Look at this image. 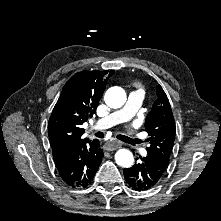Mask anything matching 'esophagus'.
<instances>
[{
	"mask_svg": "<svg viewBox=\"0 0 221 221\" xmlns=\"http://www.w3.org/2000/svg\"><path fill=\"white\" fill-rule=\"evenodd\" d=\"M121 147V143L117 141H107L104 144V148L108 151H112Z\"/></svg>",
	"mask_w": 221,
	"mask_h": 221,
	"instance_id": "obj_1",
	"label": "esophagus"
}]
</instances>
